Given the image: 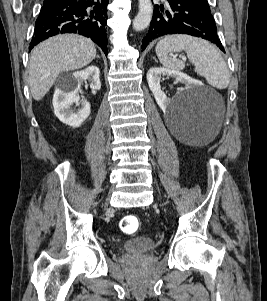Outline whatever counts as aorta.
Returning <instances> with one entry per match:
<instances>
[{
  "mask_svg": "<svg viewBox=\"0 0 267 301\" xmlns=\"http://www.w3.org/2000/svg\"><path fill=\"white\" fill-rule=\"evenodd\" d=\"M153 15V6L151 0H139V11L133 21V29L142 31L147 28Z\"/></svg>",
  "mask_w": 267,
  "mask_h": 301,
  "instance_id": "aorta-1",
  "label": "aorta"
}]
</instances>
